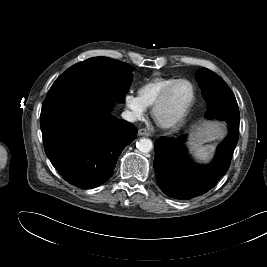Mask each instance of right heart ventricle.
I'll return each instance as SVG.
<instances>
[{
    "mask_svg": "<svg viewBox=\"0 0 267 267\" xmlns=\"http://www.w3.org/2000/svg\"><path fill=\"white\" fill-rule=\"evenodd\" d=\"M177 78L157 77L142 84L138 89V96L142 102L148 106H152L160 93Z\"/></svg>",
    "mask_w": 267,
    "mask_h": 267,
    "instance_id": "right-heart-ventricle-1",
    "label": "right heart ventricle"
}]
</instances>
